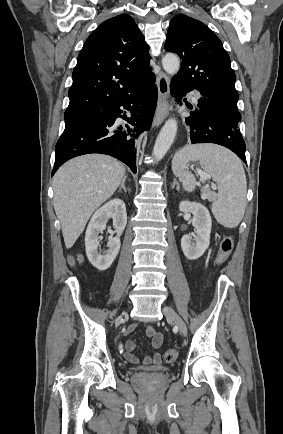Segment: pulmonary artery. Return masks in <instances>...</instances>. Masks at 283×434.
<instances>
[{
  "label": "pulmonary artery",
  "instance_id": "e3ab8cb5",
  "mask_svg": "<svg viewBox=\"0 0 283 434\" xmlns=\"http://www.w3.org/2000/svg\"><path fill=\"white\" fill-rule=\"evenodd\" d=\"M190 97H191L193 100H196V99H197V95H196L195 93H192V94L190 95Z\"/></svg>",
  "mask_w": 283,
  "mask_h": 434
}]
</instances>
